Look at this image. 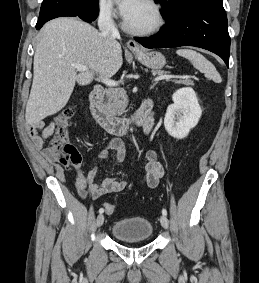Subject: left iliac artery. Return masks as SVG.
<instances>
[{"mask_svg": "<svg viewBox=\"0 0 259 283\" xmlns=\"http://www.w3.org/2000/svg\"><path fill=\"white\" fill-rule=\"evenodd\" d=\"M162 214L165 215V216H167V210H166V209H163V210H162Z\"/></svg>", "mask_w": 259, "mask_h": 283, "instance_id": "left-iliac-artery-1", "label": "left iliac artery"}]
</instances>
